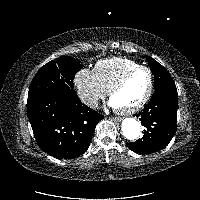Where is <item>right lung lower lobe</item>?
<instances>
[{"mask_svg": "<svg viewBox=\"0 0 200 200\" xmlns=\"http://www.w3.org/2000/svg\"><path fill=\"white\" fill-rule=\"evenodd\" d=\"M27 115L39 147L64 159L86 152L96 124L104 118L82 104L74 90L29 96Z\"/></svg>", "mask_w": 200, "mask_h": 200, "instance_id": "obj_1", "label": "right lung lower lobe"}]
</instances>
